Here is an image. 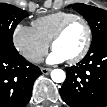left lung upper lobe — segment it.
Masks as SVG:
<instances>
[{"label":"left lung upper lobe","instance_id":"1","mask_svg":"<svg viewBox=\"0 0 107 107\" xmlns=\"http://www.w3.org/2000/svg\"><path fill=\"white\" fill-rule=\"evenodd\" d=\"M72 7L88 21L93 36L91 45L107 38V11L82 3L73 4Z\"/></svg>","mask_w":107,"mask_h":107}]
</instances>
